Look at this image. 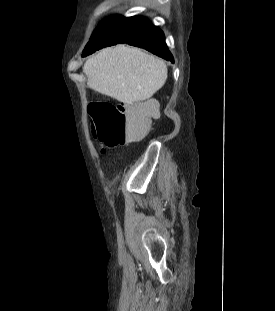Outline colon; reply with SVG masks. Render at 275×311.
<instances>
[{
    "label": "colon",
    "mask_w": 275,
    "mask_h": 311,
    "mask_svg": "<svg viewBox=\"0 0 275 311\" xmlns=\"http://www.w3.org/2000/svg\"><path fill=\"white\" fill-rule=\"evenodd\" d=\"M89 115L93 136L101 143V151L142 139L148 132L150 121L159 116L151 103L127 107L105 101L90 104Z\"/></svg>",
    "instance_id": "1"
}]
</instances>
